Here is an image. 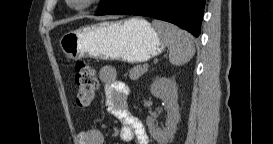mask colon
Masks as SVG:
<instances>
[{
	"label": "colon",
	"mask_w": 273,
	"mask_h": 144,
	"mask_svg": "<svg viewBox=\"0 0 273 144\" xmlns=\"http://www.w3.org/2000/svg\"><path fill=\"white\" fill-rule=\"evenodd\" d=\"M74 77L77 87V104L81 107L89 106L97 91L98 82L95 71L84 62L78 61L75 64Z\"/></svg>",
	"instance_id": "obj_1"
}]
</instances>
